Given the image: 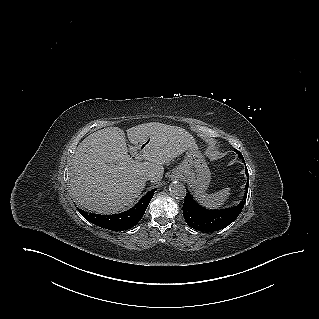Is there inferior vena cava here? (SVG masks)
Wrapping results in <instances>:
<instances>
[{
  "mask_svg": "<svg viewBox=\"0 0 319 319\" xmlns=\"http://www.w3.org/2000/svg\"><path fill=\"white\" fill-rule=\"evenodd\" d=\"M152 179V175L150 174H147L144 176V180L147 181V180H151Z\"/></svg>",
  "mask_w": 319,
  "mask_h": 319,
  "instance_id": "602c4592",
  "label": "inferior vena cava"
}]
</instances>
